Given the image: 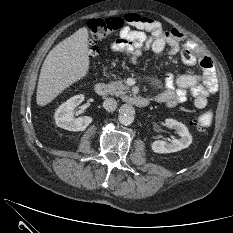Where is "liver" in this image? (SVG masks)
<instances>
[{"label":"liver","mask_w":233,"mask_h":233,"mask_svg":"<svg viewBox=\"0 0 233 233\" xmlns=\"http://www.w3.org/2000/svg\"><path fill=\"white\" fill-rule=\"evenodd\" d=\"M88 30L83 27L56 45L41 68L36 102L45 106L89 71Z\"/></svg>","instance_id":"liver-1"}]
</instances>
